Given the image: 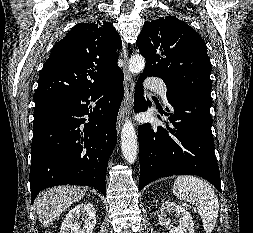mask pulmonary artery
<instances>
[{
    "label": "pulmonary artery",
    "instance_id": "obj_1",
    "mask_svg": "<svg viewBox=\"0 0 253 233\" xmlns=\"http://www.w3.org/2000/svg\"><path fill=\"white\" fill-rule=\"evenodd\" d=\"M148 89L156 92L165 102L167 101V86L158 79H149L146 82Z\"/></svg>",
    "mask_w": 253,
    "mask_h": 233
}]
</instances>
